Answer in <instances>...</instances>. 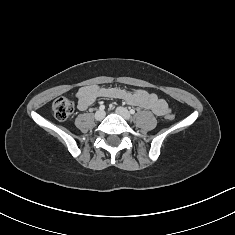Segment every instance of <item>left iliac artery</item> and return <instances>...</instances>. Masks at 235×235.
<instances>
[{
    "mask_svg": "<svg viewBox=\"0 0 235 235\" xmlns=\"http://www.w3.org/2000/svg\"><path fill=\"white\" fill-rule=\"evenodd\" d=\"M130 114H135V110L134 109H130Z\"/></svg>",
    "mask_w": 235,
    "mask_h": 235,
    "instance_id": "obj_1",
    "label": "left iliac artery"
}]
</instances>
